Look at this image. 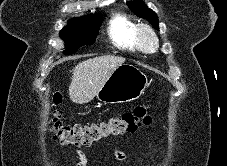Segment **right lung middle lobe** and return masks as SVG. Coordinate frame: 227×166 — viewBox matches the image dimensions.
<instances>
[{
  "label": "right lung middle lobe",
  "mask_w": 227,
  "mask_h": 166,
  "mask_svg": "<svg viewBox=\"0 0 227 166\" xmlns=\"http://www.w3.org/2000/svg\"><path fill=\"white\" fill-rule=\"evenodd\" d=\"M102 15H90L74 19L60 32V37L65 40L68 47L65 54H70L84 45H92L98 34Z\"/></svg>",
  "instance_id": "1"
}]
</instances>
